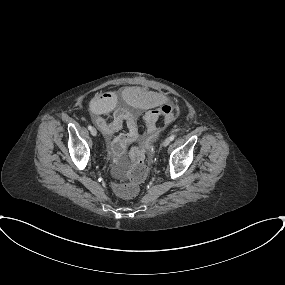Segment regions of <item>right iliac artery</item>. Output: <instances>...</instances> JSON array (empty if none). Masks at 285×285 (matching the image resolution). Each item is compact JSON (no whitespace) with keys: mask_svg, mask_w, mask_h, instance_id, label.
<instances>
[{"mask_svg":"<svg viewBox=\"0 0 285 285\" xmlns=\"http://www.w3.org/2000/svg\"><path fill=\"white\" fill-rule=\"evenodd\" d=\"M88 129L91 130V129H92V126H91V125H88Z\"/></svg>","mask_w":285,"mask_h":285,"instance_id":"obj_1","label":"right iliac artery"}]
</instances>
